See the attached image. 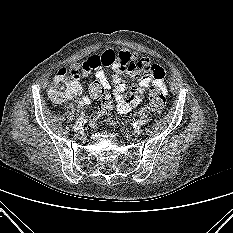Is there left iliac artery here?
<instances>
[{
  "label": "left iliac artery",
  "instance_id": "obj_1",
  "mask_svg": "<svg viewBox=\"0 0 233 233\" xmlns=\"http://www.w3.org/2000/svg\"><path fill=\"white\" fill-rule=\"evenodd\" d=\"M143 124H144V121L143 120H139V121L133 123V127L135 129H139L140 126L143 125Z\"/></svg>",
  "mask_w": 233,
  "mask_h": 233
}]
</instances>
